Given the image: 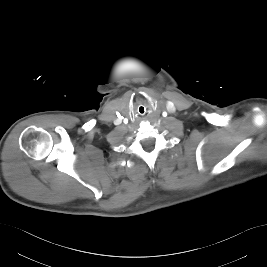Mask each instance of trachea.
I'll use <instances>...</instances> for the list:
<instances>
[{"label":"trachea","mask_w":267,"mask_h":267,"mask_svg":"<svg viewBox=\"0 0 267 267\" xmlns=\"http://www.w3.org/2000/svg\"><path fill=\"white\" fill-rule=\"evenodd\" d=\"M138 114H140L141 116L146 114L145 108L144 106H139V108L137 109Z\"/></svg>","instance_id":"trachea-1"}]
</instances>
